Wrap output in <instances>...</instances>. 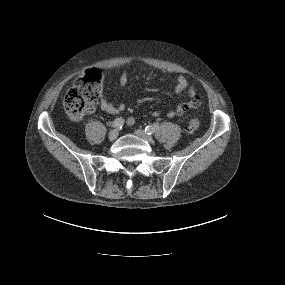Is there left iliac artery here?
<instances>
[{
    "label": "left iliac artery",
    "mask_w": 285,
    "mask_h": 285,
    "mask_svg": "<svg viewBox=\"0 0 285 285\" xmlns=\"http://www.w3.org/2000/svg\"><path fill=\"white\" fill-rule=\"evenodd\" d=\"M158 128H159L158 124L149 125L145 128V132L147 134H153L156 130H158Z\"/></svg>",
    "instance_id": "left-iliac-artery-1"
}]
</instances>
